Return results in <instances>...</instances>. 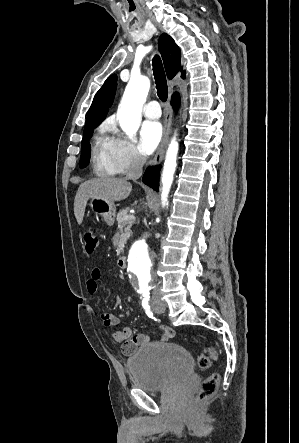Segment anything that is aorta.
Here are the masks:
<instances>
[{"instance_id":"aorta-1","label":"aorta","mask_w":299,"mask_h":443,"mask_svg":"<svg viewBox=\"0 0 299 443\" xmlns=\"http://www.w3.org/2000/svg\"><path fill=\"white\" fill-rule=\"evenodd\" d=\"M150 89V80L147 77H131L123 94L117 117L121 129L132 138L137 132L140 122L143 104L146 101ZM178 142L172 139L164 162L162 172V205L168 201V194L173 182L177 167ZM147 234V233H146ZM128 269L138 279V293L143 297L149 296V283L152 272V258L148 252L144 240H138L132 246L128 259Z\"/></svg>"}]
</instances>
